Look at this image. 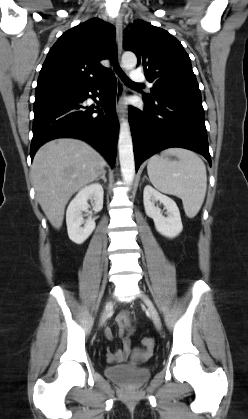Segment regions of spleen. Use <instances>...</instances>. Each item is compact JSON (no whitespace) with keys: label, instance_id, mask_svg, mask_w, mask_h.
Segmentation results:
<instances>
[{"label":"spleen","instance_id":"3e777b00","mask_svg":"<svg viewBox=\"0 0 248 419\" xmlns=\"http://www.w3.org/2000/svg\"><path fill=\"white\" fill-rule=\"evenodd\" d=\"M168 156L177 160H169ZM147 172L155 188L182 199L189 218L197 215L206 195L207 174L204 162L196 153L183 148L166 149L161 156L149 159Z\"/></svg>","mask_w":248,"mask_h":419}]
</instances>
